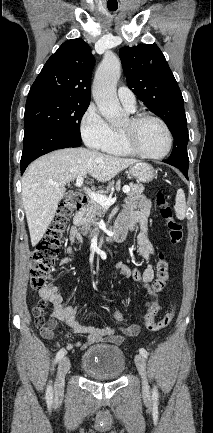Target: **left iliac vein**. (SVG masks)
<instances>
[{
    "label": "left iliac vein",
    "instance_id": "1",
    "mask_svg": "<svg viewBox=\"0 0 213 433\" xmlns=\"http://www.w3.org/2000/svg\"><path fill=\"white\" fill-rule=\"evenodd\" d=\"M135 364L142 378V390L145 397L150 396V387L147 381L146 361L142 355L135 356Z\"/></svg>",
    "mask_w": 213,
    "mask_h": 433
}]
</instances>
